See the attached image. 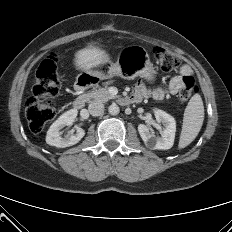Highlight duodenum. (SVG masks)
Listing matches in <instances>:
<instances>
[{
	"instance_id": "410a0bca",
	"label": "duodenum",
	"mask_w": 232,
	"mask_h": 232,
	"mask_svg": "<svg viewBox=\"0 0 232 232\" xmlns=\"http://www.w3.org/2000/svg\"><path fill=\"white\" fill-rule=\"evenodd\" d=\"M88 88H89V85H86V84H79L76 86L75 88L76 97L73 101V106L75 109L79 110L84 107L85 101H86L85 92ZM140 101L141 99L137 96H134L133 94L119 99V103L125 106L138 103Z\"/></svg>"
}]
</instances>
